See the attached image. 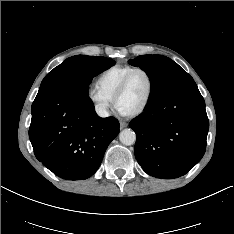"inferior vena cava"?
<instances>
[{
	"instance_id": "inferior-vena-cava-1",
	"label": "inferior vena cava",
	"mask_w": 234,
	"mask_h": 234,
	"mask_svg": "<svg viewBox=\"0 0 234 234\" xmlns=\"http://www.w3.org/2000/svg\"><path fill=\"white\" fill-rule=\"evenodd\" d=\"M95 111H96L97 115L100 117H108L109 116V112L102 105H96Z\"/></svg>"
}]
</instances>
